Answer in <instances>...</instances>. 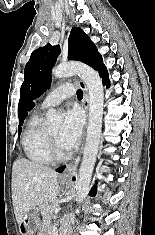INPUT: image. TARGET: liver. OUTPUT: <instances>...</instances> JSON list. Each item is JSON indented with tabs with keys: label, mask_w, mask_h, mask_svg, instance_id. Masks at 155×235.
I'll return each instance as SVG.
<instances>
[{
	"label": "liver",
	"mask_w": 155,
	"mask_h": 235,
	"mask_svg": "<svg viewBox=\"0 0 155 235\" xmlns=\"http://www.w3.org/2000/svg\"><path fill=\"white\" fill-rule=\"evenodd\" d=\"M58 174L46 166L25 158L17 159L12 168V202L20 225L32 208L49 203L57 197Z\"/></svg>",
	"instance_id": "liver-1"
}]
</instances>
